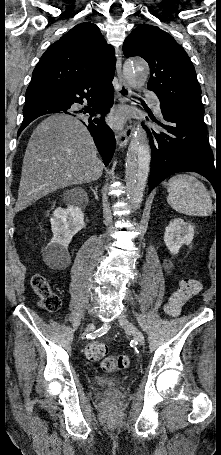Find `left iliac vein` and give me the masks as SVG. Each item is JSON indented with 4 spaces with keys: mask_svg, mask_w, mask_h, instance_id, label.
I'll list each match as a JSON object with an SVG mask.
<instances>
[{
    "mask_svg": "<svg viewBox=\"0 0 221 455\" xmlns=\"http://www.w3.org/2000/svg\"><path fill=\"white\" fill-rule=\"evenodd\" d=\"M119 324L124 328L126 331L130 332L134 339L138 341L140 345L145 344V338L143 333L134 325L132 324L125 316L119 317Z\"/></svg>",
    "mask_w": 221,
    "mask_h": 455,
    "instance_id": "4c4485c4",
    "label": "left iliac vein"
}]
</instances>
